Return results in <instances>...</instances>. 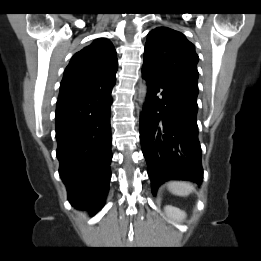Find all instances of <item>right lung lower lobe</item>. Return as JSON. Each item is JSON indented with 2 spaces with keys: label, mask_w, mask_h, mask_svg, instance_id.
Here are the masks:
<instances>
[{
  "label": "right lung lower lobe",
  "mask_w": 261,
  "mask_h": 261,
  "mask_svg": "<svg viewBox=\"0 0 261 261\" xmlns=\"http://www.w3.org/2000/svg\"><path fill=\"white\" fill-rule=\"evenodd\" d=\"M112 88L59 98L56 106L59 174L70 203L92 215L102 208L111 178Z\"/></svg>",
  "instance_id": "98d812e1"
}]
</instances>
